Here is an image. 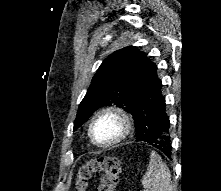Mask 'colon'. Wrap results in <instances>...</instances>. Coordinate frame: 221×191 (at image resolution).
<instances>
[{"label": "colon", "instance_id": "1", "mask_svg": "<svg viewBox=\"0 0 221 191\" xmlns=\"http://www.w3.org/2000/svg\"><path fill=\"white\" fill-rule=\"evenodd\" d=\"M122 167L120 160L115 156H102L83 164L77 175L76 187L84 191L93 173L101 175L96 191H116Z\"/></svg>", "mask_w": 221, "mask_h": 191}]
</instances>
